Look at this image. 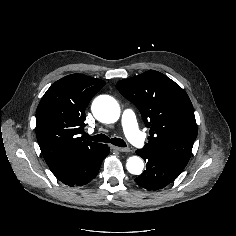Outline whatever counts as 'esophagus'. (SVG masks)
<instances>
[{
	"instance_id": "obj_1",
	"label": "esophagus",
	"mask_w": 236,
	"mask_h": 236,
	"mask_svg": "<svg viewBox=\"0 0 236 236\" xmlns=\"http://www.w3.org/2000/svg\"><path fill=\"white\" fill-rule=\"evenodd\" d=\"M112 149L119 152H129L130 150L128 148H122L117 146H112Z\"/></svg>"
}]
</instances>
